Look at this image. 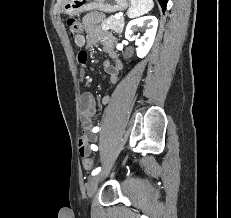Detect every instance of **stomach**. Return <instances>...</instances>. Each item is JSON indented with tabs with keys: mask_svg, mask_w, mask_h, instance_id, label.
Here are the masks:
<instances>
[{
	"mask_svg": "<svg viewBox=\"0 0 231 218\" xmlns=\"http://www.w3.org/2000/svg\"><path fill=\"white\" fill-rule=\"evenodd\" d=\"M129 0H65L63 9L66 14L74 16L82 12L99 10L105 13L123 11Z\"/></svg>",
	"mask_w": 231,
	"mask_h": 218,
	"instance_id": "1",
	"label": "stomach"
}]
</instances>
